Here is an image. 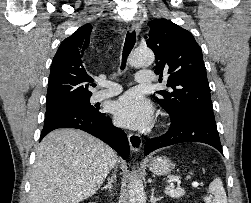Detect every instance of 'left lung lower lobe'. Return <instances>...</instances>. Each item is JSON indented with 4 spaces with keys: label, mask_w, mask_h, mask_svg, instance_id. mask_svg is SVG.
<instances>
[{
    "label": "left lung lower lobe",
    "mask_w": 251,
    "mask_h": 203,
    "mask_svg": "<svg viewBox=\"0 0 251 203\" xmlns=\"http://www.w3.org/2000/svg\"><path fill=\"white\" fill-rule=\"evenodd\" d=\"M171 122L166 134L146 141L145 155L158 148L183 142L206 143L223 153L215 119L190 113Z\"/></svg>",
    "instance_id": "1"
}]
</instances>
